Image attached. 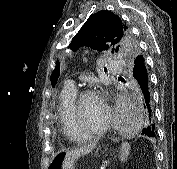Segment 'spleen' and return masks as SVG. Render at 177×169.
Listing matches in <instances>:
<instances>
[{
  "instance_id": "spleen-1",
  "label": "spleen",
  "mask_w": 177,
  "mask_h": 169,
  "mask_svg": "<svg viewBox=\"0 0 177 169\" xmlns=\"http://www.w3.org/2000/svg\"><path fill=\"white\" fill-rule=\"evenodd\" d=\"M129 153H130V144L127 142L122 143L121 154H120V159L122 162H125L127 160Z\"/></svg>"
}]
</instances>
